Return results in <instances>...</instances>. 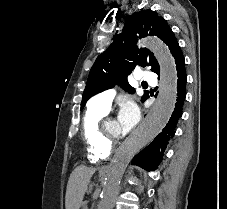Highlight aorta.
<instances>
[{
	"mask_svg": "<svg viewBox=\"0 0 227 209\" xmlns=\"http://www.w3.org/2000/svg\"><path fill=\"white\" fill-rule=\"evenodd\" d=\"M156 57L160 66V87L152 111L136 137L123 145L108 167L98 209H113L124 171L133 156L151 142L167 124L177 97V69L168 47L156 37L139 41Z\"/></svg>",
	"mask_w": 227,
	"mask_h": 209,
	"instance_id": "762f6f07",
	"label": "aorta"
}]
</instances>
